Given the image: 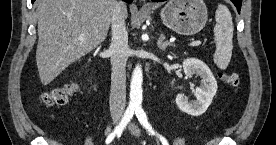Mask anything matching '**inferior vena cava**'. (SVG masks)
<instances>
[{"label": "inferior vena cava", "mask_w": 276, "mask_h": 145, "mask_svg": "<svg viewBox=\"0 0 276 145\" xmlns=\"http://www.w3.org/2000/svg\"><path fill=\"white\" fill-rule=\"evenodd\" d=\"M125 4L116 3L111 23V90L110 112L112 116H122L126 107V62L129 54L128 33L125 26Z\"/></svg>", "instance_id": "obj_1"}]
</instances>
